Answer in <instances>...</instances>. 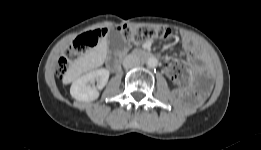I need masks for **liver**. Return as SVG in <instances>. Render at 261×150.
Segmentation results:
<instances>
[{
	"mask_svg": "<svg viewBox=\"0 0 261 150\" xmlns=\"http://www.w3.org/2000/svg\"><path fill=\"white\" fill-rule=\"evenodd\" d=\"M106 55L107 41L106 39H103L97 47L93 48L76 61L75 68L79 73H84L100 67L104 63Z\"/></svg>",
	"mask_w": 261,
	"mask_h": 150,
	"instance_id": "obj_1",
	"label": "liver"
}]
</instances>
